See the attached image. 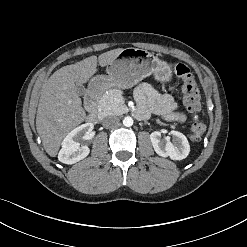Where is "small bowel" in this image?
<instances>
[{
    "label": "small bowel",
    "mask_w": 247,
    "mask_h": 247,
    "mask_svg": "<svg viewBox=\"0 0 247 247\" xmlns=\"http://www.w3.org/2000/svg\"><path fill=\"white\" fill-rule=\"evenodd\" d=\"M138 103L136 114L140 118H146L150 113L158 114L167 120L184 121L182 114L176 113V102L167 94H161L151 83L140 84L134 92Z\"/></svg>",
    "instance_id": "small-bowel-1"
}]
</instances>
